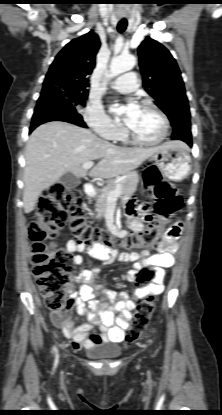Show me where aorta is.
<instances>
[{
  "mask_svg": "<svg viewBox=\"0 0 222 415\" xmlns=\"http://www.w3.org/2000/svg\"><path fill=\"white\" fill-rule=\"evenodd\" d=\"M136 65V58L133 55H120L114 57L110 63L108 78L116 77L124 72H127Z\"/></svg>",
  "mask_w": 222,
  "mask_h": 415,
  "instance_id": "762f6f07",
  "label": "aorta"
}]
</instances>
